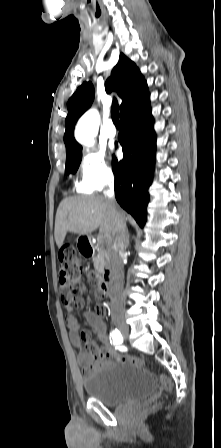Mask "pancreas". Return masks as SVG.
I'll use <instances>...</instances> for the list:
<instances>
[{
	"label": "pancreas",
	"instance_id": "cf45deb5",
	"mask_svg": "<svg viewBox=\"0 0 221 448\" xmlns=\"http://www.w3.org/2000/svg\"><path fill=\"white\" fill-rule=\"evenodd\" d=\"M97 251H98V254L94 258V267L96 269H103V267L108 259V254L102 248H97Z\"/></svg>",
	"mask_w": 221,
	"mask_h": 448
}]
</instances>
